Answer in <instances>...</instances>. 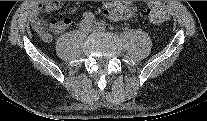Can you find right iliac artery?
<instances>
[{
  "mask_svg": "<svg viewBox=\"0 0 207 121\" xmlns=\"http://www.w3.org/2000/svg\"><path fill=\"white\" fill-rule=\"evenodd\" d=\"M83 17L86 22H89V23L95 22V16L90 12L84 13Z\"/></svg>",
  "mask_w": 207,
  "mask_h": 121,
  "instance_id": "82829eb1",
  "label": "right iliac artery"
}]
</instances>
